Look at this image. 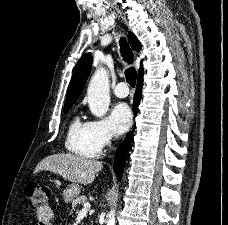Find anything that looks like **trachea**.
Masks as SVG:
<instances>
[{"mask_svg": "<svg viewBox=\"0 0 228 225\" xmlns=\"http://www.w3.org/2000/svg\"><path fill=\"white\" fill-rule=\"evenodd\" d=\"M120 45H121L120 52H121V56L123 57V60L128 63H133L134 56L125 38H122L120 40ZM125 75H126V81L129 83V85H131V87H135L136 78H137V72L135 68L134 67L128 68L125 71Z\"/></svg>", "mask_w": 228, "mask_h": 225, "instance_id": "trachea-1", "label": "trachea"}]
</instances>
